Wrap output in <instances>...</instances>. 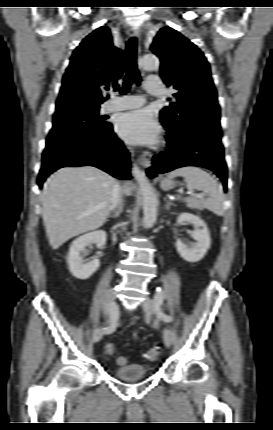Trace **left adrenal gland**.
Returning a JSON list of instances; mask_svg holds the SVG:
<instances>
[{"label": "left adrenal gland", "mask_w": 273, "mask_h": 430, "mask_svg": "<svg viewBox=\"0 0 273 430\" xmlns=\"http://www.w3.org/2000/svg\"><path fill=\"white\" fill-rule=\"evenodd\" d=\"M171 205H172V204H171L170 202H167V204H166V206H165V209H166V210H169Z\"/></svg>", "instance_id": "1"}]
</instances>
